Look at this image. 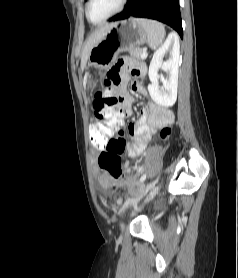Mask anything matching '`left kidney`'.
<instances>
[{
  "label": "left kidney",
  "mask_w": 238,
  "mask_h": 278,
  "mask_svg": "<svg viewBox=\"0 0 238 278\" xmlns=\"http://www.w3.org/2000/svg\"><path fill=\"white\" fill-rule=\"evenodd\" d=\"M179 39L175 34H170L165 43L154 53L149 66L148 91L153 101L163 107H171L177 99L178 71H179ZM164 56L167 60L163 62ZM162 69L167 73V78H162L163 88H159L158 71Z\"/></svg>",
  "instance_id": "5707ae66"
}]
</instances>
